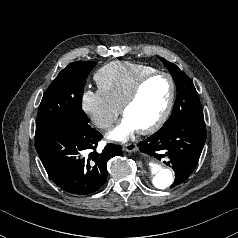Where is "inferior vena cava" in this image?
Here are the masks:
<instances>
[{"label": "inferior vena cava", "mask_w": 238, "mask_h": 238, "mask_svg": "<svg viewBox=\"0 0 238 238\" xmlns=\"http://www.w3.org/2000/svg\"><path fill=\"white\" fill-rule=\"evenodd\" d=\"M96 124L100 128H108L111 127L112 122L108 119H99Z\"/></svg>", "instance_id": "602c4592"}]
</instances>
